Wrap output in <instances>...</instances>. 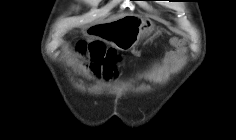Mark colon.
Returning a JSON list of instances; mask_svg holds the SVG:
<instances>
[{
	"label": "colon",
	"mask_w": 236,
	"mask_h": 140,
	"mask_svg": "<svg viewBox=\"0 0 236 140\" xmlns=\"http://www.w3.org/2000/svg\"><path fill=\"white\" fill-rule=\"evenodd\" d=\"M77 50L83 54L89 55L92 59L96 61H105V72L107 74H112L114 71L112 62L116 59V53L107 49L105 45L100 41H93L90 43L80 41L77 43Z\"/></svg>",
	"instance_id": "5ec220e1"
}]
</instances>
